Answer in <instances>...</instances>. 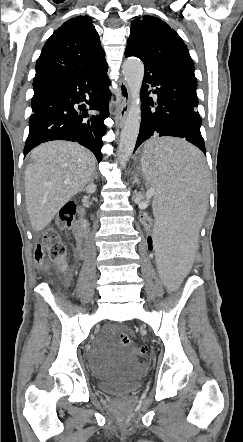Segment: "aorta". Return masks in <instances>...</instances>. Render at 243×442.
Returning a JSON list of instances; mask_svg holds the SVG:
<instances>
[{
  "instance_id": "762f6f07",
  "label": "aorta",
  "mask_w": 243,
  "mask_h": 442,
  "mask_svg": "<svg viewBox=\"0 0 243 442\" xmlns=\"http://www.w3.org/2000/svg\"><path fill=\"white\" fill-rule=\"evenodd\" d=\"M122 69L131 96V105L118 145V161L124 167L135 148L140 130V90L144 76V65L138 58H128L123 63Z\"/></svg>"
}]
</instances>
